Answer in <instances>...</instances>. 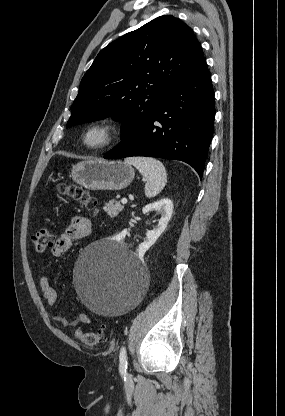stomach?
Listing matches in <instances>:
<instances>
[{
  "mask_svg": "<svg viewBox=\"0 0 285 416\" xmlns=\"http://www.w3.org/2000/svg\"><path fill=\"white\" fill-rule=\"evenodd\" d=\"M135 172L125 162H105V160H84L71 170L73 182L86 190H123L131 184ZM52 182H56L50 178Z\"/></svg>",
  "mask_w": 285,
  "mask_h": 416,
  "instance_id": "obj_1",
  "label": "stomach"
}]
</instances>
